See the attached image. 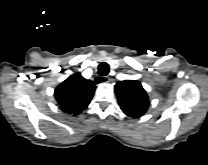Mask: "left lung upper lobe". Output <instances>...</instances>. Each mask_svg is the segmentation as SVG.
Here are the masks:
<instances>
[{
    "label": "left lung upper lobe",
    "mask_w": 208,
    "mask_h": 165,
    "mask_svg": "<svg viewBox=\"0 0 208 165\" xmlns=\"http://www.w3.org/2000/svg\"><path fill=\"white\" fill-rule=\"evenodd\" d=\"M121 110L128 116L139 118L149 106V99L141 83L135 80L118 82L115 87Z\"/></svg>",
    "instance_id": "5c2ea615"
}]
</instances>
